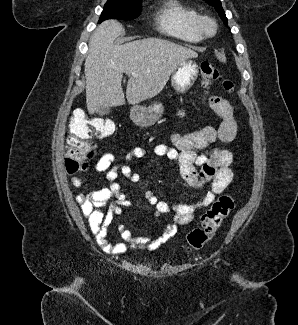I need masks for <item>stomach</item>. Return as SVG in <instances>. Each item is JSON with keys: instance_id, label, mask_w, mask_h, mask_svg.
I'll return each instance as SVG.
<instances>
[{"instance_id": "1", "label": "stomach", "mask_w": 298, "mask_h": 325, "mask_svg": "<svg viewBox=\"0 0 298 325\" xmlns=\"http://www.w3.org/2000/svg\"><path fill=\"white\" fill-rule=\"evenodd\" d=\"M199 74V68L195 60L186 58L177 64L175 70L171 74V86L175 92L183 94L187 92L194 82H196ZM165 108L163 102H153L149 106H134L131 110V120L138 126H151L155 124L158 118H161Z\"/></svg>"}]
</instances>
